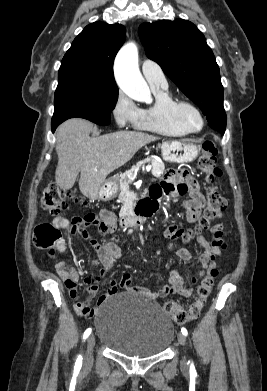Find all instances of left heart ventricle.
Instances as JSON below:
<instances>
[{
    "instance_id": "obj_1",
    "label": "left heart ventricle",
    "mask_w": 267,
    "mask_h": 391,
    "mask_svg": "<svg viewBox=\"0 0 267 391\" xmlns=\"http://www.w3.org/2000/svg\"><path fill=\"white\" fill-rule=\"evenodd\" d=\"M184 119L188 126L192 129H198L201 126V121L199 116L190 109H186L183 113Z\"/></svg>"
}]
</instances>
